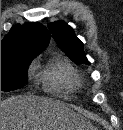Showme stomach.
<instances>
[{
  "label": "stomach",
  "mask_w": 123,
  "mask_h": 130,
  "mask_svg": "<svg viewBox=\"0 0 123 130\" xmlns=\"http://www.w3.org/2000/svg\"><path fill=\"white\" fill-rule=\"evenodd\" d=\"M76 130H88V129H76Z\"/></svg>",
  "instance_id": "obj_1"
}]
</instances>
